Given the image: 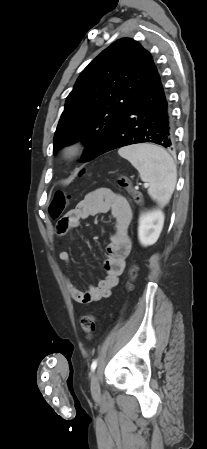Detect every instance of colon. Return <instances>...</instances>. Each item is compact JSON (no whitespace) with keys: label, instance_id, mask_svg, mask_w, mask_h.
<instances>
[{"label":"colon","instance_id":"colon-1","mask_svg":"<svg viewBox=\"0 0 207 449\" xmlns=\"http://www.w3.org/2000/svg\"><path fill=\"white\" fill-rule=\"evenodd\" d=\"M82 172L81 174H83ZM118 186L125 189L130 197L138 204H142L141 194L132 186L131 181L126 176H119L117 179ZM70 201V196L58 191L49 206V215L52 219H59L66 210ZM137 276V266L133 264L129 269V278L134 280ZM129 287L131 284L129 283ZM81 328L85 336L90 339L95 332L96 318L93 315H84L80 320Z\"/></svg>","mask_w":207,"mask_h":449}]
</instances>
